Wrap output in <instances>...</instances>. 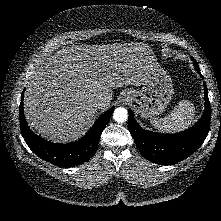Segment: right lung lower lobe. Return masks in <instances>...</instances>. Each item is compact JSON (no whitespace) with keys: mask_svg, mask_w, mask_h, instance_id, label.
I'll return each mask as SVG.
<instances>
[{"mask_svg":"<svg viewBox=\"0 0 221 221\" xmlns=\"http://www.w3.org/2000/svg\"><path fill=\"white\" fill-rule=\"evenodd\" d=\"M115 107H111L94 123L81 139L67 144H56L40 138L29 128L23 112V94L20 104V128L29 148L41 159L60 167H72L88 161L95 153L101 133L107 125Z\"/></svg>","mask_w":221,"mask_h":221,"instance_id":"1","label":"right lung lower lobe"}]
</instances>
